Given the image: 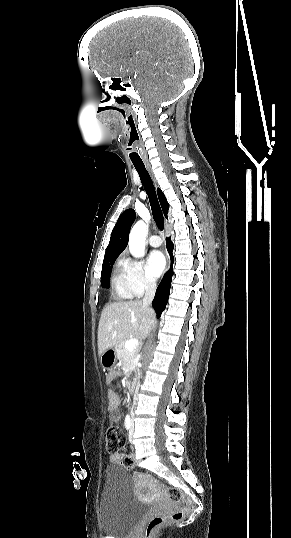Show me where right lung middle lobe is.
I'll list each match as a JSON object with an SVG mask.
<instances>
[{
    "instance_id": "obj_1",
    "label": "right lung middle lobe",
    "mask_w": 291,
    "mask_h": 538,
    "mask_svg": "<svg viewBox=\"0 0 291 538\" xmlns=\"http://www.w3.org/2000/svg\"><path fill=\"white\" fill-rule=\"evenodd\" d=\"M114 262H115V259H110L106 262L105 261L103 262L102 272H101V284L105 288L109 287V277L111 275L112 264Z\"/></svg>"
}]
</instances>
